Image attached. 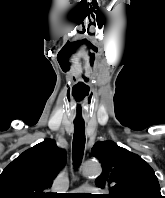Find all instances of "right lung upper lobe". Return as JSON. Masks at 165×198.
Returning a JSON list of instances; mask_svg holds the SVG:
<instances>
[{"instance_id":"obj_1","label":"right lung upper lobe","mask_w":165,"mask_h":198,"mask_svg":"<svg viewBox=\"0 0 165 198\" xmlns=\"http://www.w3.org/2000/svg\"><path fill=\"white\" fill-rule=\"evenodd\" d=\"M66 153L53 139L26 150L0 175V198H50L47 190L64 166Z\"/></svg>"}]
</instances>
